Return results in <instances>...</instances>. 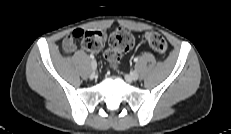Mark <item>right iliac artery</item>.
Returning <instances> with one entry per match:
<instances>
[{"mask_svg":"<svg viewBox=\"0 0 231 134\" xmlns=\"http://www.w3.org/2000/svg\"><path fill=\"white\" fill-rule=\"evenodd\" d=\"M90 58H91V59H94V55H93V54H90Z\"/></svg>","mask_w":231,"mask_h":134,"instance_id":"right-iliac-artery-1","label":"right iliac artery"}]
</instances>
